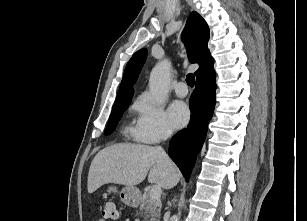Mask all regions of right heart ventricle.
Masks as SVG:
<instances>
[{"label":"right heart ventricle","mask_w":307,"mask_h":221,"mask_svg":"<svg viewBox=\"0 0 307 221\" xmlns=\"http://www.w3.org/2000/svg\"><path fill=\"white\" fill-rule=\"evenodd\" d=\"M133 108H136V105H134ZM125 132L130 134L134 139L139 140L138 137H137V128H136V126L128 125L125 128Z\"/></svg>","instance_id":"obj_1"}]
</instances>
